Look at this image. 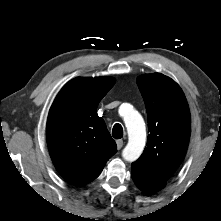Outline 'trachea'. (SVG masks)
<instances>
[{
  "label": "trachea",
  "instance_id": "1",
  "mask_svg": "<svg viewBox=\"0 0 221 221\" xmlns=\"http://www.w3.org/2000/svg\"><path fill=\"white\" fill-rule=\"evenodd\" d=\"M112 136L115 139H120L123 137V128L120 124H115L112 129Z\"/></svg>",
  "mask_w": 221,
  "mask_h": 221
}]
</instances>
